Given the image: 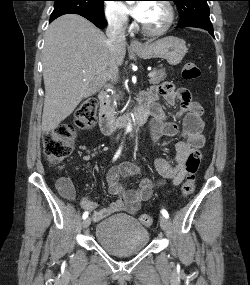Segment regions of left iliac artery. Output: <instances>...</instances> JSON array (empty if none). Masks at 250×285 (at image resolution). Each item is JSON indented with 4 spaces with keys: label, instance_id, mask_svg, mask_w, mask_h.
Returning a JSON list of instances; mask_svg holds the SVG:
<instances>
[{
    "label": "left iliac artery",
    "instance_id": "44dca946",
    "mask_svg": "<svg viewBox=\"0 0 250 285\" xmlns=\"http://www.w3.org/2000/svg\"><path fill=\"white\" fill-rule=\"evenodd\" d=\"M161 212L164 217L169 218V214L165 209H163Z\"/></svg>",
    "mask_w": 250,
    "mask_h": 285
}]
</instances>
